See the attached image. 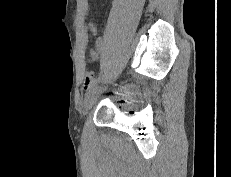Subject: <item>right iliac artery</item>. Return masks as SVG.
Returning <instances> with one entry per match:
<instances>
[{"label":"right iliac artery","mask_w":231,"mask_h":177,"mask_svg":"<svg viewBox=\"0 0 231 177\" xmlns=\"http://www.w3.org/2000/svg\"><path fill=\"white\" fill-rule=\"evenodd\" d=\"M102 76H99L96 81L91 85V88H94L100 81H101Z\"/></svg>","instance_id":"1"}]
</instances>
